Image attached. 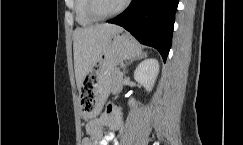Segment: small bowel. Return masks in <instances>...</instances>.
Masks as SVG:
<instances>
[{"label": "small bowel", "mask_w": 243, "mask_h": 145, "mask_svg": "<svg viewBox=\"0 0 243 145\" xmlns=\"http://www.w3.org/2000/svg\"><path fill=\"white\" fill-rule=\"evenodd\" d=\"M122 115L115 106H108L107 110L97 118L88 123L86 127L87 135L82 141V145H119L116 131L121 127ZM108 128L107 135H103V128Z\"/></svg>", "instance_id": "obj_1"}]
</instances>
